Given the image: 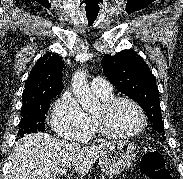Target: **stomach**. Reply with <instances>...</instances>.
<instances>
[{
	"instance_id": "1",
	"label": "stomach",
	"mask_w": 183,
	"mask_h": 179,
	"mask_svg": "<svg viewBox=\"0 0 183 179\" xmlns=\"http://www.w3.org/2000/svg\"><path fill=\"white\" fill-rule=\"evenodd\" d=\"M136 154L134 143L127 140L114 141L101 153L99 164L106 175L114 176L127 169L135 160Z\"/></svg>"
}]
</instances>
